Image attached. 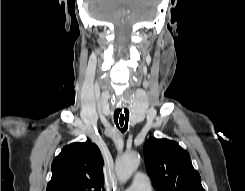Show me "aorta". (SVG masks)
<instances>
[{"mask_svg": "<svg viewBox=\"0 0 245 191\" xmlns=\"http://www.w3.org/2000/svg\"><path fill=\"white\" fill-rule=\"evenodd\" d=\"M140 163L139 154L135 151L120 156L115 163V172L121 182H126L136 171Z\"/></svg>", "mask_w": 245, "mask_h": 191, "instance_id": "obj_1", "label": "aorta"}]
</instances>
